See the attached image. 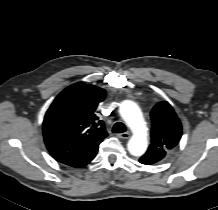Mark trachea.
I'll list each match as a JSON object with an SVG mask.
<instances>
[{
  "label": "trachea",
  "mask_w": 218,
  "mask_h": 210,
  "mask_svg": "<svg viewBox=\"0 0 218 210\" xmlns=\"http://www.w3.org/2000/svg\"><path fill=\"white\" fill-rule=\"evenodd\" d=\"M112 131L114 133H123L126 131V126L122 122H117L114 124Z\"/></svg>",
  "instance_id": "obj_1"
}]
</instances>
